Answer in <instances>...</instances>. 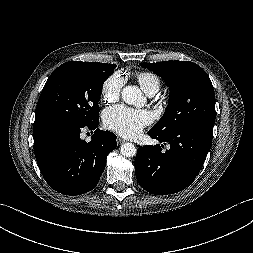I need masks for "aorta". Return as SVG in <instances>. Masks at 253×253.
Masks as SVG:
<instances>
[{"label": "aorta", "mask_w": 253, "mask_h": 253, "mask_svg": "<svg viewBox=\"0 0 253 253\" xmlns=\"http://www.w3.org/2000/svg\"><path fill=\"white\" fill-rule=\"evenodd\" d=\"M122 99L129 105L142 106L146 102L141 90L137 86H126L123 88ZM137 149L134 144L126 142L121 145L120 153L125 157H133L136 155Z\"/></svg>", "instance_id": "1"}]
</instances>
